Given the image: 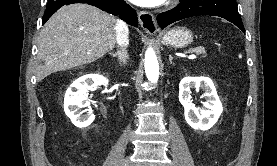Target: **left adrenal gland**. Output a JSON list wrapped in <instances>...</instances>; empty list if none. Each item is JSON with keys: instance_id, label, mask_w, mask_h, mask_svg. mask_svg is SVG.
<instances>
[{"instance_id": "a2214340", "label": "left adrenal gland", "mask_w": 277, "mask_h": 166, "mask_svg": "<svg viewBox=\"0 0 277 166\" xmlns=\"http://www.w3.org/2000/svg\"><path fill=\"white\" fill-rule=\"evenodd\" d=\"M172 60H173V57L171 55H169V62H170V64H172Z\"/></svg>"}]
</instances>
